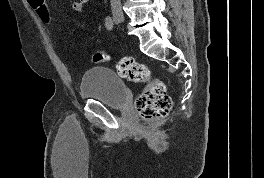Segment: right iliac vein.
<instances>
[{
    "label": "right iliac vein",
    "mask_w": 264,
    "mask_h": 178,
    "mask_svg": "<svg viewBox=\"0 0 264 178\" xmlns=\"http://www.w3.org/2000/svg\"><path fill=\"white\" fill-rule=\"evenodd\" d=\"M114 19L117 22H124V16L120 13H116L114 14Z\"/></svg>",
    "instance_id": "right-iliac-vein-1"
}]
</instances>
